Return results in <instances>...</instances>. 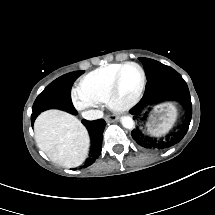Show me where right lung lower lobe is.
Segmentation results:
<instances>
[{
    "label": "right lung lower lobe",
    "instance_id": "98d812e1",
    "mask_svg": "<svg viewBox=\"0 0 215 215\" xmlns=\"http://www.w3.org/2000/svg\"><path fill=\"white\" fill-rule=\"evenodd\" d=\"M36 119V118H35ZM31 118L32 125L34 120ZM83 124L87 127L91 137V147L89 157L87 158L84 168L92 165L101 154L103 131L106 125L104 120L87 121L83 120Z\"/></svg>",
    "mask_w": 215,
    "mask_h": 215
}]
</instances>
